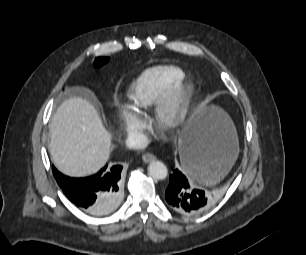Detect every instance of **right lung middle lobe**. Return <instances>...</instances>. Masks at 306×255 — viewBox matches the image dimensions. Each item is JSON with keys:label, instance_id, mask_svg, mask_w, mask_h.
I'll use <instances>...</instances> for the list:
<instances>
[{"label": "right lung middle lobe", "instance_id": "1", "mask_svg": "<svg viewBox=\"0 0 306 255\" xmlns=\"http://www.w3.org/2000/svg\"><path fill=\"white\" fill-rule=\"evenodd\" d=\"M108 61H109L108 57H99V58H96V60L94 62V66L95 67H101L102 65H104Z\"/></svg>", "mask_w": 306, "mask_h": 255}]
</instances>
